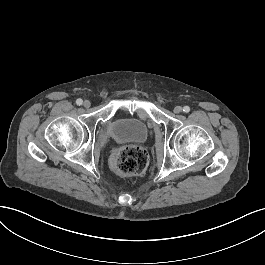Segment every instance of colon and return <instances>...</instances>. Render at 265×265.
Returning a JSON list of instances; mask_svg holds the SVG:
<instances>
[{"instance_id": "colon-1", "label": "colon", "mask_w": 265, "mask_h": 265, "mask_svg": "<svg viewBox=\"0 0 265 265\" xmlns=\"http://www.w3.org/2000/svg\"><path fill=\"white\" fill-rule=\"evenodd\" d=\"M149 163V156L145 149L128 145L118 149L111 158V169L122 175H139L145 172Z\"/></svg>"}]
</instances>
